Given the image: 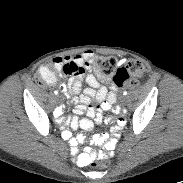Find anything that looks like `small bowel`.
Listing matches in <instances>:
<instances>
[{
  "label": "small bowel",
  "instance_id": "c3829d8e",
  "mask_svg": "<svg viewBox=\"0 0 183 183\" xmlns=\"http://www.w3.org/2000/svg\"><path fill=\"white\" fill-rule=\"evenodd\" d=\"M95 61L96 54L91 50H86L75 56L55 57L40 68V70L53 68L57 71H61L65 65H73L76 71L71 73L67 84L61 85V89L68 96L78 94L82 90L83 79L88 85L82 95L73 98V103L75 104L74 115L63 117L62 115L65 113V108L62 105H57L52 109V114L57 117V122L60 125L70 126L74 130L80 127L85 131H89L93 126V121L101 123L104 120V111H118V109L114 107V103L117 99L116 90L114 88L108 90L103 85L109 83L110 80L101 74H93ZM54 83L55 79L50 85ZM93 100L96 102H93ZM85 111H87L88 117L79 119L77 115H81ZM118 117L117 124L119 126L111 125L108 128V133L113 137L107 134L101 135L99 132H94L91 135V143L94 146L101 145V149L95 151L92 145H87L84 148V154H78L75 157V162L78 165L85 166L88 163V159L93 157L97 161H107L115 157V145L121 127H125L128 124L127 118L129 117V111L126 108H121L118 111ZM115 120V118L108 117L105 119V122L111 123ZM62 135L63 138L69 142L73 151H77V145L84 141L83 135L72 138L68 130H64Z\"/></svg>",
  "mask_w": 183,
  "mask_h": 183
}]
</instances>
